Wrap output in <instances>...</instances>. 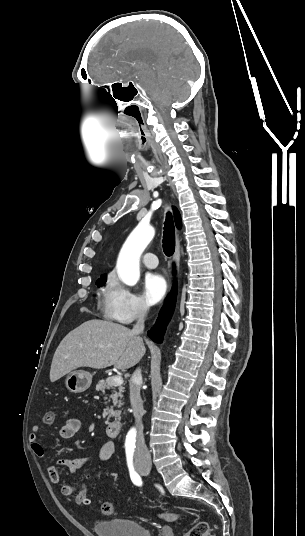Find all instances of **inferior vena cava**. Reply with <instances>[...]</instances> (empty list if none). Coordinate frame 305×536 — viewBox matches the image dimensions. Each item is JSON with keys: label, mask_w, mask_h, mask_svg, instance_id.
Returning <instances> with one entry per match:
<instances>
[{"label": "inferior vena cava", "mask_w": 305, "mask_h": 536, "mask_svg": "<svg viewBox=\"0 0 305 536\" xmlns=\"http://www.w3.org/2000/svg\"><path fill=\"white\" fill-rule=\"evenodd\" d=\"M148 310V306H141V308H138L137 310V322L135 326H133L132 334L134 336H138V334H142L144 330V322H145V314ZM137 382H142V376H141V370L138 368V370H135L134 374H132V378L130 380V402L138 430V436H137V448L135 450V458L137 462H150V454L148 452V448L145 444L144 436H143V426H142V416L145 414V410H143V402L142 398L140 396V386L137 384Z\"/></svg>", "instance_id": "inferior-vena-cava-1"}]
</instances>
